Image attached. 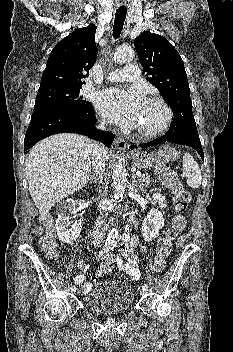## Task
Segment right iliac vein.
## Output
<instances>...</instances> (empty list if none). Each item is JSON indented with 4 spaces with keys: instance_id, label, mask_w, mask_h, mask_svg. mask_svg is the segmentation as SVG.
<instances>
[{
    "instance_id": "63e3f726",
    "label": "right iliac vein",
    "mask_w": 233,
    "mask_h": 352,
    "mask_svg": "<svg viewBox=\"0 0 233 352\" xmlns=\"http://www.w3.org/2000/svg\"><path fill=\"white\" fill-rule=\"evenodd\" d=\"M74 292H75L76 294H78L79 291H78V289L76 288V290H75Z\"/></svg>"
}]
</instances>
